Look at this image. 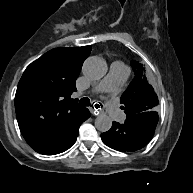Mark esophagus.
<instances>
[{"label":"esophagus","instance_id":"1","mask_svg":"<svg viewBox=\"0 0 193 193\" xmlns=\"http://www.w3.org/2000/svg\"><path fill=\"white\" fill-rule=\"evenodd\" d=\"M95 104H98V103H95ZM95 104H94V105H95ZM91 112H92V114L95 115V116H97V115L100 114V111H99L98 109H96L95 106H93Z\"/></svg>","mask_w":193,"mask_h":193}]
</instances>
